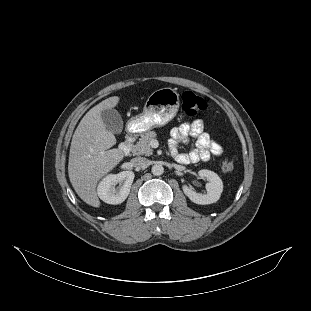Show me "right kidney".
Masks as SVG:
<instances>
[{"label": "right kidney", "mask_w": 311, "mask_h": 311, "mask_svg": "<svg viewBox=\"0 0 311 311\" xmlns=\"http://www.w3.org/2000/svg\"><path fill=\"white\" fill-rule=\"evenodd\" d=\"M134 177L132 171L107 175L97 187L99 198L108 204L116 205L122 203L130 193ZM117 183L120 185L118 188H115Z\"/></svg>", "instance_id": "obj_1"}]
</instances>
